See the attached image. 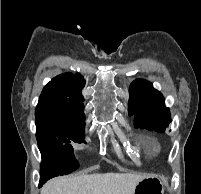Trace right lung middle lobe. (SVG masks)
Returning <instances> with one entry per match:
<instances>
[{"label": "right lung middle lobe", "mask_w": 201, "mask_h": 194, "mask_svg": "<svg viewBox=\"0 0 201 194\" xmlns=\"http://www.w3.org/2000/svg\"><path fill=\"white\" fill-rule=\"evenodd\" d=\"M36 138L40 150L57 148L68 155L57 166L50 169L53 176L69 173L78 167L71 141H84L85 119H78L67 114L60 106H40L35 110Z\"/></svg>", "instance_id": "dd1d6c3e"}]
</instances>
